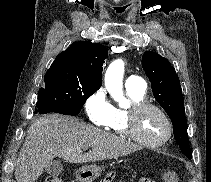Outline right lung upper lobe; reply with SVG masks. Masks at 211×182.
<instances>
[{
    "mask_svg": "<svg viewBox=\"0 0 211 182\" xmlns=\"http://www.w3.org/2000/svg\"><path fill=\"white\" fill-rule=\"evenodd\" d=\"M108 57L104 45L92 42H74L61 52L50 69H60L83 81L102 85V65Z\"/></svg>",
    "mask_w": 211,
    "mask_h": 182,
    "instance_id": "obj_1",
    "label": "right lung upper lobe"
}]
</instances>
